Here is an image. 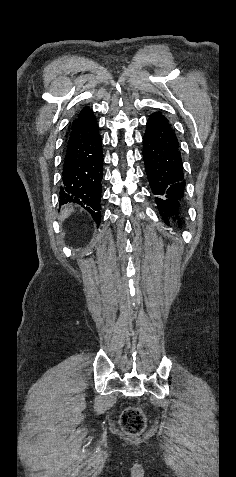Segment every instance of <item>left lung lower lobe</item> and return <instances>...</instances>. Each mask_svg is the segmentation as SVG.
<instances>
[{"label":"left lung lower lobe","mask_w":236,"mask_h":477,"mask_svg":"<svg viewBox=\"0 0 236 477\" xmlns=\"http://www.w3.org/2000/svg\"><path fill=\"white\" fill-rule=\"evenodd\" d=\"M146 174L163 218L177 217L182 208L185 180L180 146L161 112L150 115L143 137Z\"/></svg>","instance_id":"0a47b994"}]
</instances>
